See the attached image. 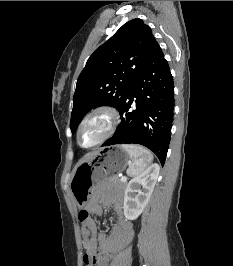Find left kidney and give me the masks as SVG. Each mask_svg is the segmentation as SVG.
<instances>
[{"label": "left kidney", "mask_w": 233, "mask_h": 266, "mask_svg": "<svg viewBox=\"0 0 233 266\" xmlns=\"http://www.w3.org/2000/svg\"><path fill=\"white\" fill-rule=\"evenodd\" d=\"M159 170V165L153 164L129 181L124 194L126 219L134 220L142 213L157 182Z\"/></svg>", "instance_id": "5707ae66"}]
</instances>
